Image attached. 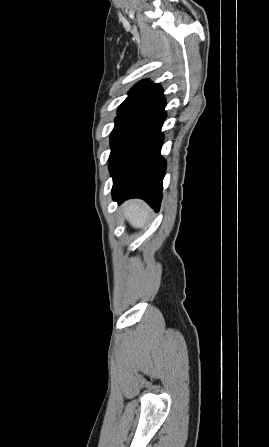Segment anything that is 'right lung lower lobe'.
I'll use <instances>...</instances> for the list:
<instances>
[{
	"label": "right lung lower lobe",
	"instance_id": "obj_1",
	"mask_svg": "<svg viewBox=\"0 0 269 447\" xmlns=\"http://www.w3.org/2000/svg\"><path fill=\"white\" fill-rule=\"evenodd\" d=\"M165 105L161 96L124 117L112 131L109 169L112 197L119 204L125 199L141 198L159 210L166 171V161L160 155Z\"/></svg>",
	"mask_w": 269,
	"mask_h": 447
}]
</instances>
